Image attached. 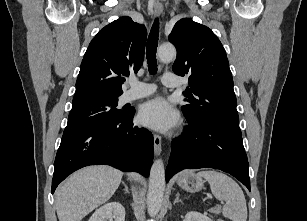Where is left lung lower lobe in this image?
<instances>
[{
  "label": "left lung lower lobe",
  "instance_id": "1",
  "mask_svg": "<svg viewBox=\"0 0 307 221\" xmlns=\"http://www.w3.org/2000/svg\"><path fill=\"white\" fill-rule=\"evenodd\" d=\"M214 168L230 173L250 191L249 164L241 134L212 122H189L172 142L166 181L183 169Z\"/></svg>",
  "mask_w": 307,
  "mask_h": 221
}]
</instances>
